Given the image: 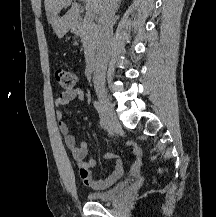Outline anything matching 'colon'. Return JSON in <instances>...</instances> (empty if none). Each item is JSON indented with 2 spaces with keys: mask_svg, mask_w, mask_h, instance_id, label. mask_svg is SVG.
I'll list each match as a JSON object with an SVG mask.
<instances>
[{
  "mask_svg": "<svg viewBox=\"0 0 216 217\" xmlns=\"http://www.w3.org/2000/svg\"><path fill=\"white\" fill-rule=\"evenodd\" d=\"M55 78L64 90L74 89L77 83L76 73L65 69H58L55 73Z\"/></svg>",
  "mask_w": 216,
  "mask_h": 217,
  "instance_id": "obj_1",
  "label": "colon"
}]
</instances>
